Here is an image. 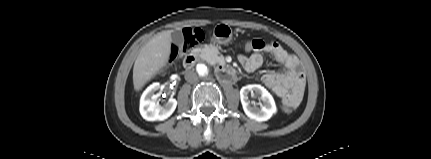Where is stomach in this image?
<instances>
[{"mask_svg": "<svg viewBox=\"0 0 431 159\" xmlns=\"http://www.w3.org/2000/svg\"><path fill=\"white\" fill-rule=\"evenodd\" d=\"M232 29L226 24H218L213 30L212 41L217 44H228L232 40Z\"/></svg>", "mask_w": 431, "mask_h": 159, "instance_id": "1", "label": "stomach"}]
</instances>
